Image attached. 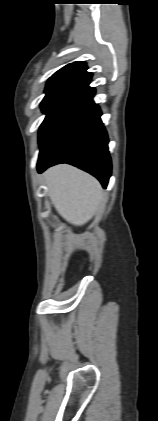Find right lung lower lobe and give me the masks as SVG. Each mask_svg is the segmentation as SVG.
I'll use <instances>...</instances> for the list:
<instances>
[{
    "label": "right lung lower lobe",
    "mask_w": 158,
    "mask_h": 421,
    "mask_svg": "<svg viewBox=\"0 0 158 421\" xmlns=\"http://www.w3.org/2000/svg\"><path fill=\"white\" fill-rule=\"evenodd\" d=\"M88 84L62 108L40 146L37 169L41 173L55 164L68 163L89 172L106 188L111 176L108 136L101 111L92 100L95 89Z\"/></svg>",
    "instance_id": "1"
}]
</instances>
